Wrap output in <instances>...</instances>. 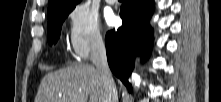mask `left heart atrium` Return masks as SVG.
I'll return each instance as SVG.
<instances>
[{
	"label": "left heart atrium",
	"instance_id": "obj_1",
	"mask_svg": "<svg viewBox=\"0 0 221 102\" xmlns=\"http://www.w3.org/2000/svg\"><path fill=\"white\" fill-rule=\"evenodd\" d=\"M108 25H115L117 22L116 17L113 14H109L106 18Z\"/></svg>",
	"mask_w": 221,
	"mask_h": 102
}]
</instances>
